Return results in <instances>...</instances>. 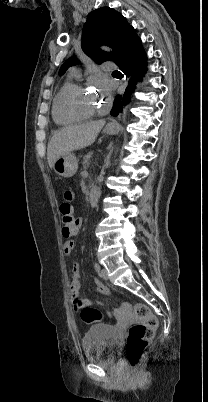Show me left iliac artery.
I'll return each mask as SVG.
<instances>
[{
    "mask_svg": "<svg viewBox=\"0 0 208 402\" xmlns=\"http://www.w3.org/2000/svg\"><path fill=\"white\" fill-rule=\"evenodd\" d=\"M94 269L96 270V272L100 271V265L97 262L94 263Z\"/></svg>",
    "mask_w": 208,
    "mask_h": 402,
    "instance_id": "obj_1",
    "label": "left iliac artery"
}]
</instances>
